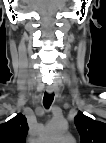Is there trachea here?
<instances>
[{
    "label": "trachea",
    "mask_w": 106,
    "mask_h": 143,
    "mask_svg": "<svg viewBox=\"0 0 106 143\" xmlns=\"http://www.w3.org/2000/svg\"><path fill=\"white\" fill-rule=\"evenodd\" d=\"M53 100H54V94L45 93L43 98V104L45 108H49Z\"/></svg>",
    "instance_id": "trachea-1"
}]
</instances>
